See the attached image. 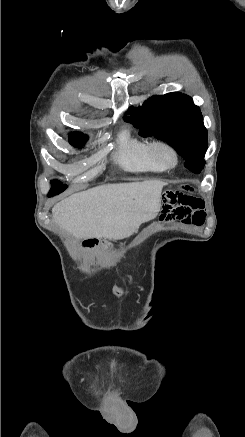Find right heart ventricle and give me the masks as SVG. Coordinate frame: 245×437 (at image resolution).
Instances as JSON below:
<instances>
[{
	"label": "right heart ventricle",
	"instance_id": "1",
	"mask_svg": "<svg viewBox=\"0 0 245 437\" xmlns=\"http://www.w3.org/2000/svg\"><path fill=\"white\" fill-rule=\"evenodd\" d=\"M116 162L129 172H162L166 169L149 151V143L129 128L122 129L117 137Z\"/></svg>",
	"mask_w": 245,
	"mask_h": 437
}]
</instances>
